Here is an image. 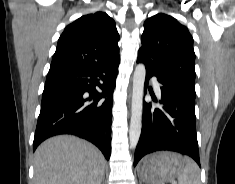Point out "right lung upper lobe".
<instances>
[{"instance_id": "obj_1", "label": "right lung upper lobe", "mask_w": 235, "mask_h": 184, "mask_svg": "<svg viewBox=\"0 0 235 184\" xmlns=\"http://www.w3.org/2000/svg\"><path fill=\"white\" fill-rule=\"evenodd\" d=\"M118 41L115 22L106 13L82 16L60 36L50 70H96L118 64Z\"/></svg>"}]
</instances>
